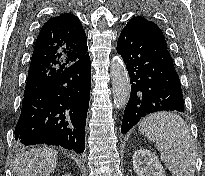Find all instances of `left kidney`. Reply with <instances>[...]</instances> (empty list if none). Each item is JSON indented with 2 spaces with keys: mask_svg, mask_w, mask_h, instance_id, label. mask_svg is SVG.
<instances>
[{
  "mask_svg": "<svg viewBox=\"0 0 205 176\" xmlns=\"http://www.w3.org/2000/svg\"><path fill=\"white\" fill-rule=\"evenodd\" d=\"M133 169L137 176H166L158 157L144 148L134 153Z\"/></svg>",
  "mask_w": 205,
  "mask_h": 176,
  "instance_id": "left-kidney-1",
  "label": "left kidney"
}]
</instances>
